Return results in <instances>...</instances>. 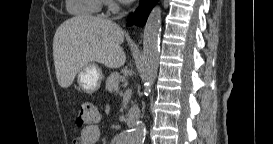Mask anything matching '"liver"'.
Listing matches in <instances>:
<instances>
[{
	"mask_svg": "<svg viewBox=\"0 0 273 144\" xmlns=\"http://www.w3.org/2000/svg\"><path fill=\"white\" fill-rule=\"evenodd\" d=\"M124 32L108 19L78 15L64 21L53 38V59L58 84L68 88L86 64L98 62L117 69L125 64L121 47Z\"/></svg>",
	"mask_w": 273,
	"mask_h": 144,
	"instance_id": "obj_1",
	"label": "liver"
}]
</instances>
